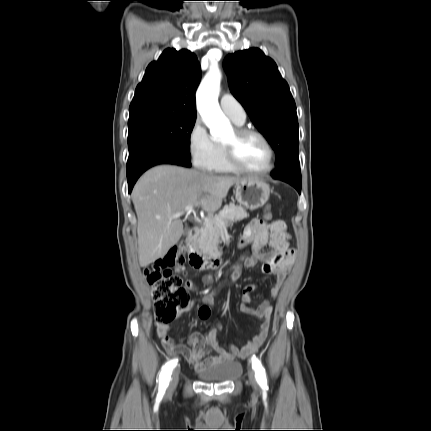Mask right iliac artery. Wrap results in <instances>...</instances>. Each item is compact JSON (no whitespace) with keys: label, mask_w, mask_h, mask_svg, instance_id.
I'll use <instances>...</instances> for the list:
<instances>
[{"label":"right iliac artery","mask_w":431,"mask_h":431,"mask_svg":"<svg viewBox=\"0 0 431 431\" xmlns=\"http://www.w3.org/2000/svg\"><path fill=\"white\" fill-rule=\"evenodd\" d=\"M178 360L173 359L163 365L161 373L159 375V392L164 393L169 385L170 377L173 369L177 365Z\"/></svg>","instance_id":"1"}]
</instances>
